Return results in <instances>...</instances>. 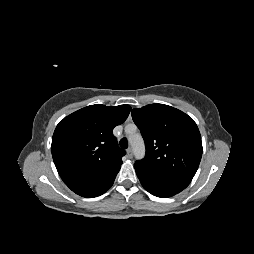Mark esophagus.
<instances>
[{"label": "esophagus", "instance_id": "esophagus-1", "mask_svg": "<svg viewBox=\"0 0 254 254\" xmlns=\"http://www.w3.org/2000/svg\"><path fill=\"white\" fill-rule=\"evenodd\" d=\"M127 156H128V158H132L133 157V150H132V148H128L127 149Z\"/></svg>", "mask_w": 254, "mask_h": 254}]
</instances>
